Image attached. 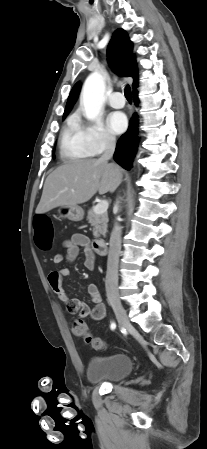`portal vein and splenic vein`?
<instances>
[{
    "label": "portal vein and splenic vein",
    "instance_id": "18ae733b",
    "mask_svg": "<svg viewBox=\"0 0 207 449\" xmlns=\"http://www.w3.org/2000/svg\"><path fill=\"white\" fill-rule=\"evenodd\" d=\"M108 206H109L108 201H107V200H102L101 202H99V203L94 207V211H95L97 214L105 213V212H107Z\"/></svg>",
    "mask_w": 207,
    "mask_h": 449
}]
</instances>
